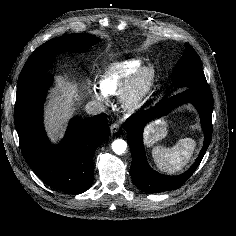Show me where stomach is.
Here are the masks:
<instances>
[{
	"label": "stomach",
	"mask_w": 236,
	"mask_h": 236,
	"mask_svg": "<svg viewBox=\"0 0 236 236\" xmlns=\"http://www.w3.org/2000/svg\"><path fill=\"white\" fill-rule=\"evenodd\" d=\"M168 134L167 122L164 119L155 120L146 129L144 140L146 146L150 147L164 139Z\"/></svg>",
	"instance_id": "1"
}]
</instances>
